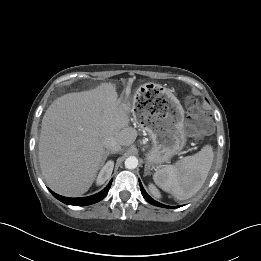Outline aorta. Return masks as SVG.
<instances>
[{"mask_svg":"<svg viewBox=\"0 0 261 261\" xmlns=\"http://www.w3.org/2000/svg\"><path fill=\"white\" fill-rule=\"evenodd\" d=\"M138 166V159L135 156H130L125 160V167L127 169H135Z\"/></svg>","mask_w":261,"mask_h":261,"instance_id":"obj_1","label":"aorta"}]
</instances>
